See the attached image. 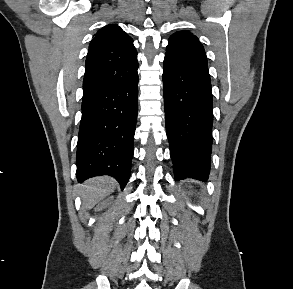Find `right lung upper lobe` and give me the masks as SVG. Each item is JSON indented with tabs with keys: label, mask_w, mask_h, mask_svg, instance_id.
Wrapping results in <instances>:
<instances>
[{
	"label": "right lung upper lobe",
	"mask_w": 293,
	"mask_h": 289,
	"mask_svg": "<svg viewBox=\"0 0 293 289\" xmlns=\"http://www.w3.org/2000/svg\"><path fill=\"white\" fill-rule=\"evenodd\" d=\"M137 51L132 38L119 26L100 29L90 42L83 80V98L135 78Z\"/></svg>",
	"instance_id": "obj_1"
}]
</instances>
